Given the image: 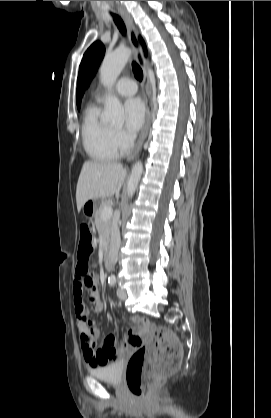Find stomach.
<instances>
[{
  "instance_id": "1",
  "label": "stomach",
  "mask_w": 271,
  "mask_h": 418,
  "mask_svg": "<svg viewBox=\"0 0 271 418\" xmlns=\"http://www.w3.org/2000/svg\"><path fill=\"white\" fill-rule=\"evenodd\" d=\"M100 204H101V201L98 199H91V200L86 201L83 205V213L88 218L94 216Z\"/></svg>"
}]
</instances>
